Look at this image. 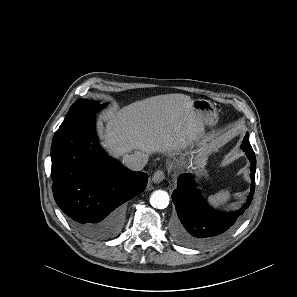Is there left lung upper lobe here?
<instances>
[{
	"label": "left lung upper lobe",
	"mask_w": 297,
	"mask_h": 297,
	"mask_svg": "<svg viewBox=\"0 0 297 297\" xmlns=\"http://www.w3.org/2000/svg\"><path fill=\"white\" fill-rule=\"evenodd\" d=\"M243 148H247L248 150H253L252 147L249 145V134L248 133L244 137L243 144H242V149Z\"/></svg>",
	"instance_id": "left-lung-upper-lobe-1"
}]
</instances>
